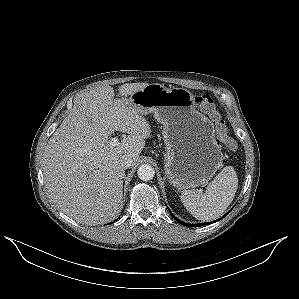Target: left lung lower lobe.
Instances as JSON below:
<instances>
[{
  "instance_id": "obj_1",
  "label": "left lung lower lobe",
  "mask_w": 299,
  "mask_h": 299,
  "mask_svg": "<svg viewBox=\"0 0 299 299\" xmlns=\"http://www.w3.org/2000/svg\"><path fill=\"white\" fill-rule=\"evenodd\" d=\"M229 212H230V211H229ZM229 212H228V213H229ZM170 213H171V212H170ZM228 213H227V214H228ZM227 214H225L223 217H225ZM171 215L173 216V218H174L176 221H178L180 224L185 225V226H195V227H197V226L209 225V224H211V223H214V222L220 220V219H218V220H215V221H213V222L199 223V224H187V223H184V222L180 221L179 219H177L172 213H171ZM223 217H222V218H223Z\"/></svg>"
}]
</instances>
